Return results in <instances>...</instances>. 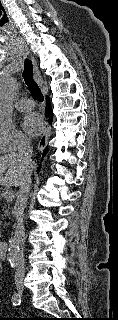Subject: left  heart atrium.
<instances>
[{"label":"left heart atrium","instance_id":"obj_1","mask_svg":"<svg viewBox=\"0 0 118 320\" xmlns=\"http://www.w3.org/2000/svg\"><path fill=\"white\" fill-rule=\"evenodd\" d=\"M22 126L28 134L36 136L43 131L44 122L38 113L32 112L24 117Z\"/></svg>","mask_w":118,"mask_h":320}]
</instances>
